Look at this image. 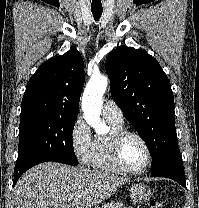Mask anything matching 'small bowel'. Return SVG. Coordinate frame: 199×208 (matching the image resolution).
<instances>
[{
    "mask_svg": "<svg viewBox=\"0 0 199 208\" xmlns=\"http://www.w3.org/2000/svg\"><path fill=\"white\" fill-rule=\"evenodd\" d=\"M127 208H136V207H134V206H128Z\"/></svg>",
    "mask_w": 199,
    "mask_h": 208,
    "instance_id": "c3829d8e",
    "label": "small bowel"
}]
</instances>
